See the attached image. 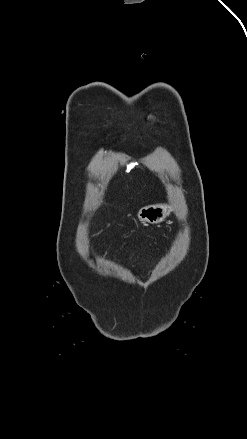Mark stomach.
<instances>
[{"mask_svg": "<svg viewBox=\"0 0 247 439\" xmlns=\"http://www.w3.org/2000/svg\"><path fill=\"white\" fill-rule=\"evenodd\" d=\"M173 208L168 203H156L140 209L138 217L150 224H160L170 216Z\"/></svg>", "mask_w": 247, "mask_h": 439, "instance_id": "obj_1", "label": "stomach"}]
</instances>
